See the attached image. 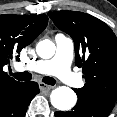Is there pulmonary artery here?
I'll use <instances>...</instances> for the list:
<instances>
[{"mask_svg":"<svg viewBox=\"0 0 117 117\" xmlns=\"http://www.w3.org/2000/svg\"><path fill=\"white\" fill-rule=\"evenodd\" d=\"M56 51L48 60H39L27 65H20V70L32 71L39 74L55 75L70 86H79L81 79L71 70L74 55L73 40L59 33L55 36Z\"/></svg>","mask_w":117,"mask_h":117,"instance_id":"1","label":"pulmonary artery"}]
</instances>
